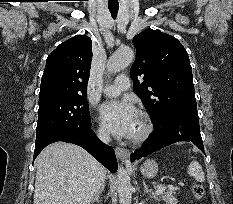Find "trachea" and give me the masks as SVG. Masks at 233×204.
<instances>
[{
	"instance_id": "3493384b",
	"label": "trachea",
	"mask_w": 233,
	"mask_h": 204,
	"mask_svg": "<svg viewBox=\"0 0 233 204\" xmlns=\"http://www.w3.org/2000/svg\"><path fill=\"white\" fill-rule=\"evenodd\" d=\"M108 8L113 19H115L119 10V5H109Z\"/></svg>"
}]
</instances>
